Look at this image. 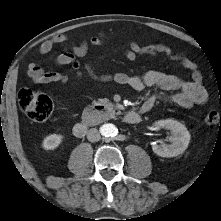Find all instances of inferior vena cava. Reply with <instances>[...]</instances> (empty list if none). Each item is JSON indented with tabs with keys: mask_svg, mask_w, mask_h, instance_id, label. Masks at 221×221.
<instances>
[{
	"mask_svg": "<svg viewBox=\"0 0 221 221\" xmlns=\"http://www.w3.org/2000/svg\"><path fill=\"white\" fill-rule=\"evenodd\" d=\"M87 139L90 142H97L100 140V133L96 128H91L87 133Z\"/></svg>",
	"mask_w": 221,
	"mask_h": 221,
	"instance_id": "obj_1",
	"label": "inferior vena cava"
}]
</instances>
